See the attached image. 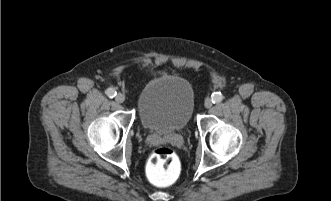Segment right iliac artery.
<instances>
[{"label":"right iliac artery","instance_id":"1","mask_svg":"<svg viewBox=\"0 0 331 201\" xmlns=\"http://www.w3.org/2000/svg\"><path fill=\"white\" fill-rule=\"evenodd\" d=\"M105 93L108 97L113 98L116 95V90L114 88H108Z\"/></svg>","mask_w":331,"mask_h":201}]
</instances>
